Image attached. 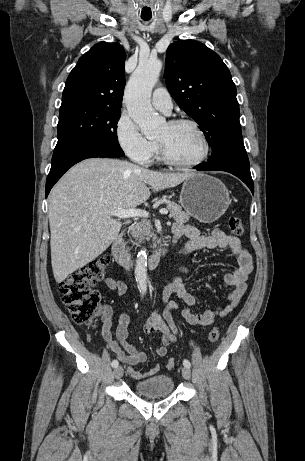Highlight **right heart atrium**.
<instances>
[{
    "instance_id": "obj_1",
    "label": "right heart atrium",
    "mask_w": 305,
    "mask_h": 461,
    "mask_svg": "<svg viewBox=\"0 0 305 461\" xmlns=\"http://www.w3.org/2000/svg\"><path fill=\"white\" fill-rule=\"evenodd\" d=\"M115 134L119 146L131 160L142 165L150 164L156 143L148 140L126 113L119 117Z\"/></svg>"
}]
</instances>
